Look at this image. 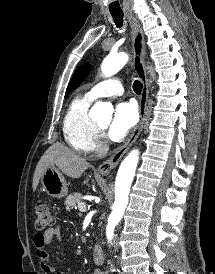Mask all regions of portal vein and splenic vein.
Listing matches in <instances>:
<instances>
[{"label": "portal vein and splenic vein", "instance_id": "1", "mask_svg": "<svg viewBox=\"0 0 215 274\" xmlns=\"http://www.w3.org/2000/svg\"><path fill=\"white\" fill-rule=\"evenodd\" d=\"M78 209L81 211V212H86V205L81 202L78 204Z\"/></svg>", "mask_w": 215, "mask_h": 274}]
</instances>
